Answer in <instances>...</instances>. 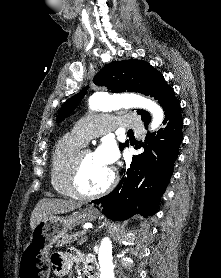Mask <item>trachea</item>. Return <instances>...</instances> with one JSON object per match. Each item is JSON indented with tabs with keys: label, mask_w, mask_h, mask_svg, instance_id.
I'll list each match as a JSON object with an SVG mask.
<instances>
[{
	"label": "trachea",
	"mask_w": 221,
	"mask_h": 278,
	"mask_svg": "<svg viewBox=\"0 0 221 278\" xmlns=\"http://www.w3.org/2000/svg\"><path fill=\"white\" fill-rule=\"evenodd\" d=\"M128 133H129V134H132V133H133V131H132V130H129V131H128Z\"/></svg>",
	"instance_id": "obj_1"
}]
</instances>
